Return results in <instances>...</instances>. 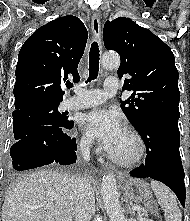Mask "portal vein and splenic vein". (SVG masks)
Here are the masks:
<instances>
[{"instance_id":"1","label":"portal vein and splenic vein","mask_w":190,"mask_h":221,"mask_svg":"<svg viewBox=\"0 0 190 221\" xmlns=\"http://www.w3.org/2000/svg\"><path fill=\"white\" fill-rule=\"evenodd\" d=\"M132 210H134V211H139V210H140V207H139V206H136V205H133V206H132Z\"/></svg>"}]
</instances>
